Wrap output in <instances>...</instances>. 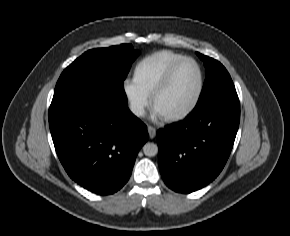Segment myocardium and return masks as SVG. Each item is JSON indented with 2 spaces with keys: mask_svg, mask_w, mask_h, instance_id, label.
Segmentation results:
<instances>
[{
  "mask_svg": "<svg viewBox=\"0 0 290 236\" xmlns=\"http://www.w3.org/2000/svg\"><path fill=\"white\" fill-rule=\"evenodd\" d=\"M186 63H190V64L194 65V67L197 71V87H196V91H195V94H194L192 100L184 109H182L179 112L170 113V114L159 113L155 108V103H156V99H157L158 95L169 86V84L172 81V78H173L175 72L177 71V69ZM203 85H204V75H203V70H202L200 64L193 58H190V57L182 58L181 60H179L178 62H176L175 64H173L170 67V69L166 72V74L164 75L162 80L154 87V89L152 90L151 95H150V105H151L152 109L156 113H158L164 120L175 121V120L182 119L185 116H187L189 113H191L192 110L197 105L199 98L202 94Z\"/></svg>",
  "mask_w": 290,
  "mask_h": 236,
  "instance_id": "obj_1",
  "label": "myocardium"
}]
</instances>
